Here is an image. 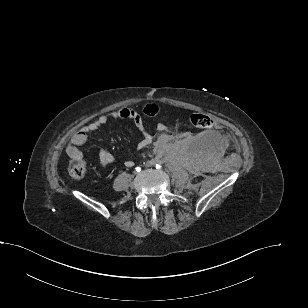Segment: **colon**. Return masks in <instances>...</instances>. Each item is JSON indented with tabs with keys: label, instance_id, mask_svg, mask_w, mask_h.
I'll list each match as a JSON object with an SVG mask.
<instances>
[{
	"label": "colon",
	"instance_id": "obj_1",
	"mask_svg": "<svg viewBox=\"0 0 308 308\" xmlns=\"http://www.w3.org/2000/svg\"><path fill=\"white\" fill-rule=\"evenodd\" d=\"M190 123L197 129H209L213 125V120L210 116L204 113H193L190 118ZM69 174L74 178H81L86 171V162L83 158H71L68 164Z\"/></svg>",
	"mask_w": 308,
	"mask_h": 308
}]
</instances>
